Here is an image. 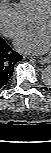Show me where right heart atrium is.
I'll return each instance as SVG.
<instances>
[{"mask_svg":"<svg viewBox=\"0 0 51 153\" xmlns=\"http://www.w3.org/2000/svg\"><path fill=\"white\" fill-rule=\"evenodd\" d=\"M30 26V20L20 7L8 0L0 1V32L9 39L21 36Z\"/></svg>","mask_w":51,"mask_h":153,"instance_id":"right-heart-atrium-1","label":"right heart atrium"}]
</instances>
